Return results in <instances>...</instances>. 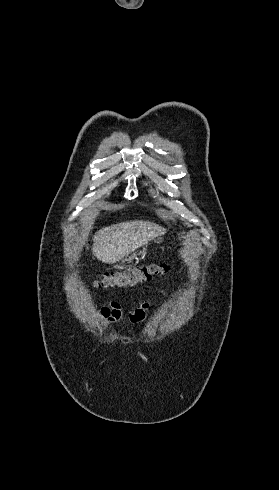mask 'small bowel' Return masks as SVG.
Wrapping results in <instances>:
<instances>
[{"instance_id": "small-bowel-1", "label": "small bowel", "mask_w": 279, "mask_h": 490, "mask_svg": "<svg viewBox=\"0 0 279 490\" xmlns=\"http://www.w3.org/2000/svg\"><path fill=\"white\" fill-rule=\"evenodd\" d=\"M149 304L143 302L139 306L135 307L130 318L133 322H140L144 319L145 310L148 309ZM122 316L121 305L118 302H111L109 305L105 306L98 313V318L105 327L111 326L116 323Z\"/></svg>"}]
</instances>
